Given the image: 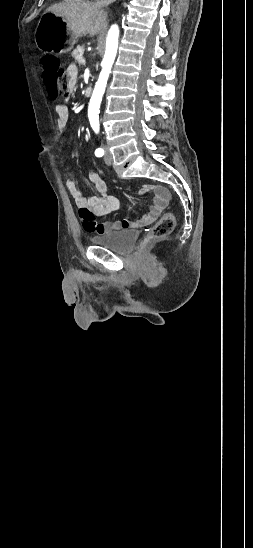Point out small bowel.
Instances as JSON below:
<instances>
[{"label": "small bowel", "instance_id": "1", "mask_svg": "<svg viewBox=\"0 0 253 548\" xmlns=\"http://www.w3.org/2000/svg\"><path fill=\"white\" fill-rule=\"evenodd\" d=\"M66 74L69 77L70 91L75 87L77 81V69L74 65H70ZM57 114L56 126L59 134H62L67 126L70 112L66 105L57 104L55 107ZM88 179L97 194L91 198H87L82 194L71 176L66 178V187L76 205L80 208L79 217L86 231L102 234L122 228L141 227L152 223L159 214L168 206L170 202V192L167 188L157 185H143L139 194L146 196L154 195L153 204L148 211L141 217L135 220L122 219L113 222L98 223L96 217H102L118 207L117 199L108 194L106 182L96 171H91Z\"/></svg>", "mask_w": 253, "mask_h": 548}]
</instances>
